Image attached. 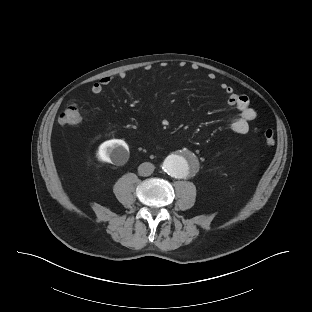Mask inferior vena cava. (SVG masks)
<instances>
[{
	"instance_id": "obj_1",
	"label": "inferior vena cava",
	"mask_w": 312,
	"mask_h": 312,
	"mask_svg": "<svg viewBox=\"0 0 312 312\" xmlns=\"http://www.w3.org/2000/svg\"><path fill=\"white\" fill-rule=\"evenodd\" d=\"M154 169H155V166L152 163L144 162L139 165L138 173L140 176L146 177V176H150L153 173Z\"/></svg>"
}]
</instances>
